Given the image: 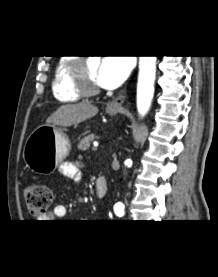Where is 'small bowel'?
<instances>
[{
	"label": "small bowel",
	"instance_id": "obj_1",
	"mask_svg": "<svg viewBox=\"0 0 218 277\" xmlns=\"http://www.w3.org/2000/svg\"><path fill=\"white\" fill-rule=\"evenodd\" d=\"M59 173L67 178L74 179L75 181H80L81 173L79 167L73 163H64L60 166ZM66 215V208L64 205H56L52 212L43 217L46 222H51V220L62 218Z\"/></svg>",
	"mask_w": 218,
	"mask_h": 277
}]
</instances>
